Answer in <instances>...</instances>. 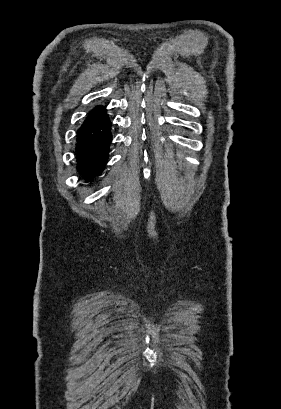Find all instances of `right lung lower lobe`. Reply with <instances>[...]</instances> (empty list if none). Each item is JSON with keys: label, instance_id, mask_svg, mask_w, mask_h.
I'll return each instance as SVG.
<instances>
[{"label": "right lung lower lobe", "instance_id": "obj_1", "mask_svg": "<svg viewBox=\"0 0 281 409\" xmlns=\"http://www.w3.org/2000/svg\"><path fill=\"white\" fill-rule=\"evenodd\" d=\"M111 122L104 106L90 111L77 134V169L87 181L99 175L107 162L112 134Z\"/></svg>", "mask_w": 281, "mask_h": 409}]
</instances>
